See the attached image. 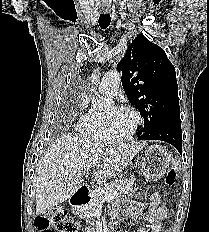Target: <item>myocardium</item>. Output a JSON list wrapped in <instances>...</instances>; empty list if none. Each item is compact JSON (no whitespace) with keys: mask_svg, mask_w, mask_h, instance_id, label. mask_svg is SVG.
<instances>
[{"mask_svg":"<svg viewBox=\"0 0 209 232\" xmlns=\"http://www.w3.org/2000/svg\"><path fill=\"white\" fill-rule=\"evenodd\" d=\"M113 108L116 110H125V111L130 112L135 118V123H134L132 130L129 133L125 135H114L110 131L107 117L103 115L102 116V129H103L106 139L118 140V141L131 139L135 135V133L138 131V129L140 128L142 124V116L140 112L134 107L129 106V105H117V106H114Z\"/></svg>","mask_w":209,"mask_h":232,"instance_id":"myocardium-1","label":"myocardium"}]
</instances>
